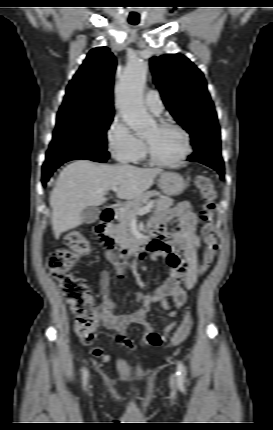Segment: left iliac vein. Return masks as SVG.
Segmentation results:
<instances>
[{
	"label": "left iliac vein",
	"mask_w": 273,
	"mask_h": 430,
	"mask_svg": "<svg viewBox=\"0 0 273 430\" xmlns=\"http://www.w3.org/2000/svg\"><path fill=\"white\" fill-rule=\"evenodd\" d=\"M170 383H171V385H173V384H174V376H172V377L170 378Z\"/></svg>",
	"instance_id": "4c4485c4"
}]
</instances>
